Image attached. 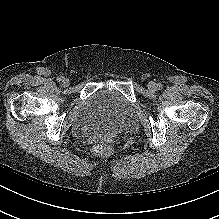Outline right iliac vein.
Instances as JSON below:
<instances>
[{
    "label": "right iliac vein",
    "mask_w": 219,
    "mask_h": 219,
    "mask_svg": "<svg viewBox=\"0 0 219 219\" xmlns=\"http://www.w3.org/2000/svg\"><path fill=\"white\" fill-rule=\"evenodd\" d=\"M61 84L64 86V87H67L69 86L70 84V80L68 78H63V80L61 81Z\"/></svg>",
    "instance_id": "63e3f726"
}]
</instances>
